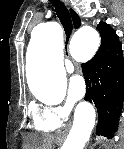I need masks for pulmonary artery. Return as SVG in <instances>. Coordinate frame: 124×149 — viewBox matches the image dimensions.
I'll return each mask as SVG.
<instances>
[{
	"label": "pulmonary artery",
	"instance_id": "pulmonary-artery-1",
	"mask_svg": "<svg viewBox=\"0 0 124 149\" xmlns=\"http://www.w3.org/2000/svg\"><path fill=\"white\" fill-rule=\"evenodd\" d=\"M65 67H66V71L69 73L74 71V66L70 60L65 61Z\"/></svg>",
	"mask_w": 124,
	"mask_h": 149
}]
</instances>
